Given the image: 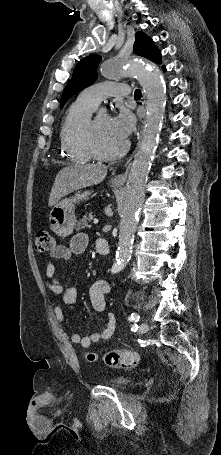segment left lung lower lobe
Returning <instances> with one entry per match:
<instances>
[{"label": "left lung lower lobe", "instance_id": "1", "mask_svg": "<svg viewBox=\"0 0 221 455\" xmlns=\"http://www.w3.org/2000/svg\"><path fill=\"white\" fill-rule=\"evenodd\" d=\"M163 70L166 71V68L163 66Z\"/></svg>", "mask_w": 221, "mask_h": 455}]
</instances>
